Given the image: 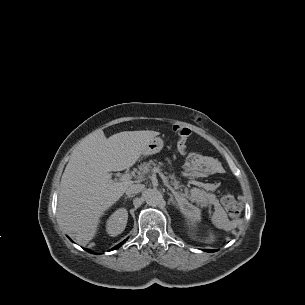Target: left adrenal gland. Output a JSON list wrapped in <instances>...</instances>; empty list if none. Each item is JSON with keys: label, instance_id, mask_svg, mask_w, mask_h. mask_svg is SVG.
<instances>
[{"label": "left adrenal gland", "instance_id": "1", "mask_svg": "<svg viewBox=\"0 0 305 305\" xmlns=\"http://www.w3.org/2000/svg\"><path fill=\"white\" fill-rule=\"evenodd\" d=\"M168 195L170 196L169 203H172L173 205L176 204V206L178 208L180 204L175 202L174 197L171 193H168Z\"/></svg>", "mask_w": 305, "mask_h": 305}]
</instances>
